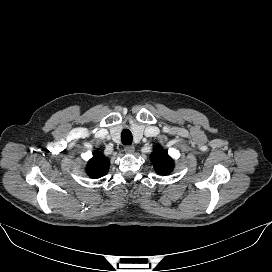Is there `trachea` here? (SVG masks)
<instances>
[{
  "mask_svg": "<svg viewBox=\"0 0 272 272\" xmlns=\"http://www.w3.org/2000/svg\"><path fill=\"white\" fill-rule=\"evenodd\" d=\"M121 141L124 145H131L132 133L128 129H124L121 133Z\"/></svg>",
  "mask_w": 272,
  "mask_h": 272,
  "instance_id": "3493384b",
  "label": "trachea"
}]
</instances>
